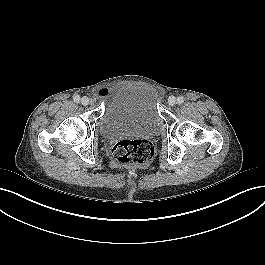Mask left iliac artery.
Listing matches in <instances>:
<instances>
[{"mask_svg": "<svg viewBox=\"0 0 265 265\" xmlns=\"http://www.w3.org/2000/svg\"><path fill=\"white\" fill-rule=\"evenodd\" d=\"M184 102V98L183 97H178L177 98V103L178 104H182Z\"/></svg>", "mask_w": 265, "mask_h": 265, "instance_id": "44dca946", "label": "left iliac artery"}]
</instances>
